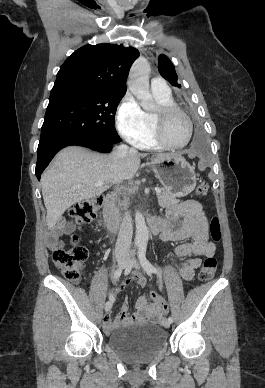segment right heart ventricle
I'll return each mask as SVG.
<instances>
[{"label":"right heart ventricle","mask_w":265,"mask_h":388,"mask_svg":"<svg viewBox=\"0 0 265 388\" xmlns=\"http://www.w3.org/2000/svg\"><path fill=\"white\" fill-rule=\"evenodd\" d=\"M154 99L157 102V106L160 104H173V98L169 91H154ZM153 112H147L148 128L146 132L138 139L135 140L137 147L142 149H160L161 145L158 143L154 136L153 131Z\"/></svg>","instance_id":"right-heart-ventricle-1"}]
</instances>
